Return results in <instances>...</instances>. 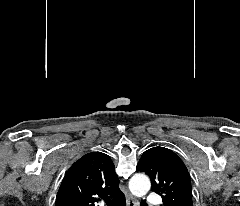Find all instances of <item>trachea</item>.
Here are the masks:
<instances>
[{
	"label": "trachea",
	"instance_id": "3493384b",
	"mask_svg": "<svg viewBox=\"0 0 240 206\" xmlns=\"http://www.w3.org/2000/svg\"><path fill=\"white\" fill-rule=\"evenodd\" d=\"M105 202H106L107 206H113V203L111 202V200L109 198H106Z\"/></svg>",
	"mask_w": 240,
	"mask_h": 206
}]
</instances>
